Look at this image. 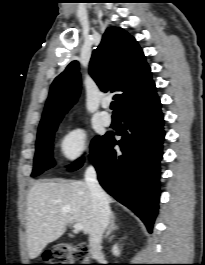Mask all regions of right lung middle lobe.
Masks as SVG:
<instances>
[{
    "label": "right lung middle lobe",
    "instance_id": "obj_1",
    "mask_svg": "<svg viewBox=\"0 0 205 265\" xmlns=\"http://www.w3.org/2000/svg\"><path fill=\"white\" fill-rule=\"evenodd\" d=\"M58 124H53L45 129L38 131V137L36 142V154L34 158V167L31 176H38L45 170L54 166L53 160V138L54 132L57 129ZM104 136H96L91 142V155L96 151ZM83 164V160H77L73 165L69 166L70 171H75L79 169Z\"/></svg>",
    "mask_w": 205,
    "mask_h": 265
}]
</instances>
